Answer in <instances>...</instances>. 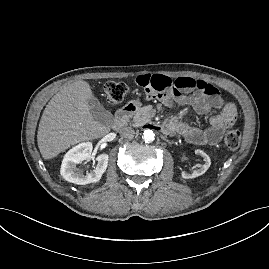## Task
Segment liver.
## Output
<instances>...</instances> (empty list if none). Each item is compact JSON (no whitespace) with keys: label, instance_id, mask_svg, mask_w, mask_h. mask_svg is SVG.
I'll return each mask as SVG.
<instances>
[{"label":"liver","instance_id":"6515ba94","mask_svg":"<svg viewBox=\"0 0 269 269\" xmlns=\"http://www.w3.org/2000/svg\"><path fill=\"white\" fill-rule=\"evenodd\" d=\"M95 98L86 81H76L55 94L43 111L37 134L42 157H56L69 147L101 138L110 132V125L96 121L88 104Z\"/></svg>","mask_w":269,"mask_h":269}]
</instances>
